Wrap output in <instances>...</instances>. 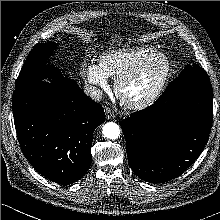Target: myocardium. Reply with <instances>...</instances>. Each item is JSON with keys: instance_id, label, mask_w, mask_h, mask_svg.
Returning <instances> with one entry per match:
<instances>
[{"instance_id": "obj_1", "label": "myocardium", "mask_w": 220, "mask_h": 220, "mask_svg": "<svg viewBox=\"0 0 220 220\" xmlns=\"http://www.w3.org/2000/svg\"><path fill=\"white\" fill-rule=\"evenodd\" d=\"M160 58L162 59L164 63V68L162 73L160 74L159 78L153 85V87L150 89V91L143 97L136 99V100H130L127 99L124 96V87L135 77H137L139 74L143 72L147 64L155 59ZM172 71V62L170 58L161 51H154L150 54L146 55L144 58H142L135 66L127 70L125 73L120 75L115 82V92L117 96L119 97L120 101L128 108L134 109V110H141L144 109L150 105H152L162 94L163 90L165 89V86L169 80V77L171 75Z\"/></svg>"}]
</instances>
